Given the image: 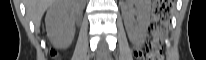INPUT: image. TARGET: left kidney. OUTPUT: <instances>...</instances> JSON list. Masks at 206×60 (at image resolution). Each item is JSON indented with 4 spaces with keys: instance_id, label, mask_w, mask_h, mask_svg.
Here are the masks:
<instances>
[{
    "instance_id": "5707ae66",
    "label": "left kidney",
    "mask_w": 206,
    "mask_h": 60,
    "mask_svg": "<svg viewBox=\"0 0 206 60\" xmlns=\"http://www.w3.org/2000/svg\"><path fill=\"white\" fill-rule=\"evenodd\" d=\"M136 9L129 8L124 14L126 29L131 41L140 44L144 38L150 22V0H130ZM137 16L134 20L133 15Z\"/></svg>"
}]
</instances>
